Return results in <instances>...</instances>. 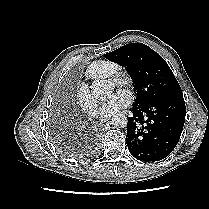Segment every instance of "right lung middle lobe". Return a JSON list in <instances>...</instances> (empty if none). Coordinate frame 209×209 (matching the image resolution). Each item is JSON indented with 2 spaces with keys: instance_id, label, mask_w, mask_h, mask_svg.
Segmentation results:
<instances>
[{
  "instance_id": "dd1d6c3e",
  "label": "right lung middle lobe",
  "mask_w": 209,
  "mask_h": 209,
  "mask_svg": "<svg viewBox=\"0 0 209 209\" xmlns=\"http://www.w3.org/2000/svg\"><path fill=\"white\" fill-rule=\"evenodd\" d=\"M56 141V145L57 147L60 149V151H62L63 153L67 154V155H77L80 153V149H78V147H76L75 145H73L70 142H66L64 140H62L61 138L55 139Z\"/></svg>"
}]
</instances>
